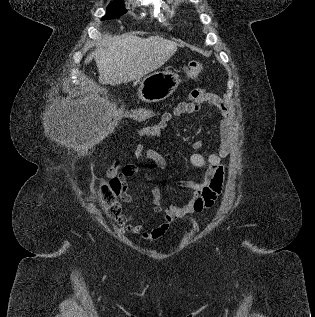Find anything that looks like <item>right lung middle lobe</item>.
<instances>
[{"mask_svg": "<svg viewBox=\"0 0 315 317\" xmlns=\"http://www.w3.org/2000/svg\"><path fill=\"white\" fill-rule=\"evenodd\" d=\"M125 13L126 9L123 6L122 0L113 1L107 7V14L102 18V20L118 18Z\"/></svg>", "mask_w": 315, "mask_h": 317, "instance_id": "right-lung-middle-lobe-1", "label": "right lung middle lobe"}]
</instances>
